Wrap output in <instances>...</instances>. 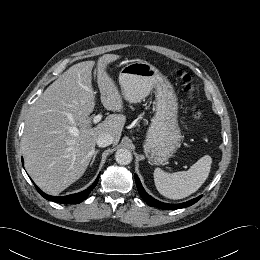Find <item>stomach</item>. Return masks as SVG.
Listing matches in <instances>:
<instances>
[{
  "mask_svg": "<svg viewBox=\"0 0 260 260\" xmlns=\"http://www.w3.org/2000/svg\"><path fill=\"white\" fill-rule=\"evenodd\" d=\"M123 97L130 103L140 102L155 89L156 112L147 131L144 152L154 164L167 161L180 147L178 99L173 86L160 70L148 62H131L119 74Z\"/></svg>",
  "mask_w": 260,
  "mask_h": 260,
  "instance_id": "1",
  "label": "stomach"
}]
</instances>
